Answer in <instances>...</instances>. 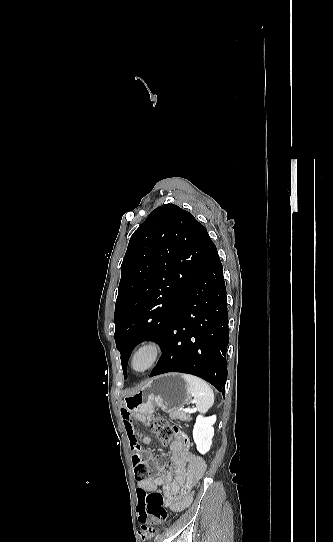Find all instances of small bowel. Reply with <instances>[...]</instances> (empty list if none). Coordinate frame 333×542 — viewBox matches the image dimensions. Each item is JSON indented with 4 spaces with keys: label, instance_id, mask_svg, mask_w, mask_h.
<instances>
[{
    "label": "small bowel",
    "instance_id": "c3829d8e",
    "mask_svg": "<svg viewBox=\"0 0 333 542\" xmlns=\"http://www.w3.org/2000/svg\"><path fill=\"white\" fill-rule=\"evenodd\" d=\"M133 409H122L120 416L124 422L125 432L131 447V457L134 461L142 458L143 462L150 463L154 456L150 452L142 454L141 444H150L151 437L142 435L140 440L134 427L136 419ZM149 424V420L141 421ZM140 447V449H139ZM170 468L162 474L161 469H157L155 476L139 481V487L145 490H155L161 487L164 493L165 503L171 512H180L187 508L194 496V488L200 482L206 471V462L203 458L194 455L185 448L184 438L181 434L177 435L170 445ZM157 462L165 461L164 453L156 454Z\"/></svg>",
    "mask_w": 333,
    "mask_h": 542
}]
</instances>
